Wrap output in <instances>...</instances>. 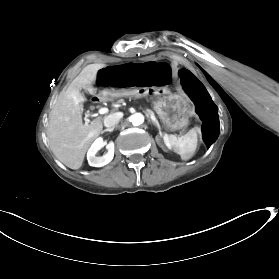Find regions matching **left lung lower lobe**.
Here are the masks:
<instances>
[{
  "instance_id": "obj_1",
  "label": "left lung lower lobe",
  "mask_w": 279,
  "mask_h": 279,
  "mask_svg": "<svg viewBox=\"0 0 279 279\" xmlns=\"http://www.w3.org/2000/svg\"><path fill=\"white\" fill-rule=\"evenodd\" d=\"M179 75L182 78V83L185 86V91L194 101L196 111L203 122V140L206 143L207 148H209L211 144L216 141L219 135L220 125L217 107L213 103L205 87L188 70H180Z\"/></svg>"
}]
</instances>
